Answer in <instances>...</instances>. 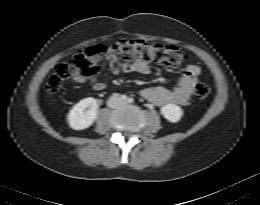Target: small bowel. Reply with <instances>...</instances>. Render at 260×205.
<instances>
[{"label":"small bowel","instance_id":"1","mask_svg":"<svg viewBox=\"0 0 260 205\" xmlns=\"http://www.w3.org/2000/svg\"><path fill=\"white\" fill-rule=\"evenodd\" d=\"M103 64L107 67L110 75L113 76L131 72L146 75L151 71L146 61L137 59L132 63L120 62L113 53H109L106 56ZM200 74L201 68L198 65L189 64L172 88L162 86L148 87L141 91V95L157 106H164L171 103L185 106L193 94ZM78 81L83 82L84 80ZM87 83L96 91H103L106 88V83L100 81L98 75L87 79Z\"/></svg>","mask_w":260,"mask_h":205}]
</instances>
